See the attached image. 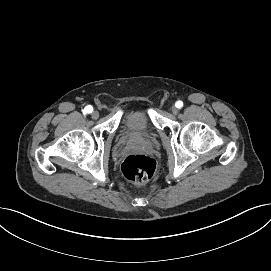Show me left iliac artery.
Here are the masks:
<instances>
[{"label":"left iliac artery","instance_id":"obj_1","mask_svg":"<svg viewBox=\"0 0 271 271\" xmlns=\"http://www.w3.org/2000/svg\"><path fill=\"white\" fill-rule=\"evenodd\" d=\"M175 106L177 108H181L183 106V102L182 101H177L176 104H175Z\"/></svg>","mask_w":271,"mask_h":271}]
</instances>
